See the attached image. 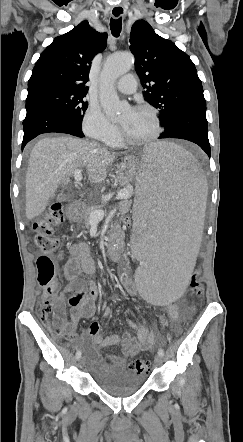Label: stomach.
<instances>
[{"label":"stomach","instance_id":"1","mask_svg":"<svg viewBox=\"0 0 243 442\" xmlns=\"http://www.w3.org/2000/svg\"><path fill=\"white\" fill-rule=\"evenodd\" d=\"M139 161L134 156H126L117 166L116 176L121 185H125L135 179L137 174L136 168Z\"/></svg>","mask_w":243,"mask_h":442}]
</instances>
